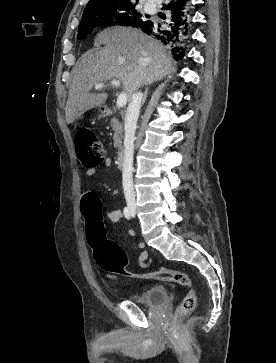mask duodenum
Wrapping results in <instances>:
<instances>
[{
    "label": "duodenum",
    "instance_id": "duodenum-1",
    "mask_svg": "<svg viewBox=\"0 0 276 363\" xmlns=\"http://www.w3.org/2000/svg\"><path fill=\"white\" fill-rule=\"evenodd\" d=\"M105 116H110L111 111L109 109L104 110ZM125 154L123 151H119L116 155V161L119 166H122L124 164Z\"/></svg>",
    "mask_w": 276,
    "mask_h": 363
}]
</instances>
